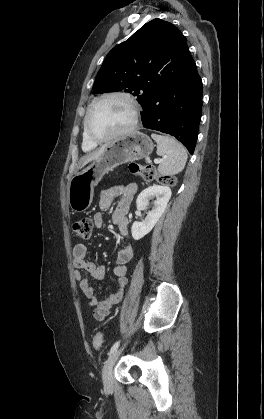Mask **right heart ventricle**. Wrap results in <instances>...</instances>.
I'll list each match as a JSON object with an SVG mask.
<instances>
[{
  "label": "right heart ventricle",
  "mask_w": 264,
  "mask_h": 419,
  "mask_svg": "<svg viewBox=\"0 0 264 419\" xmlns=\"http://www.w3.org/2000/svg\"><path fill=\"white\" fill-rule=\"evenodd\" d=\"M97 144L91 142L85 132L83 131V135H82V149L86 152H89L91 150H93L96 147Z\"/></svg>",
  "instance_id": "obj_1"
}]
</instances>
